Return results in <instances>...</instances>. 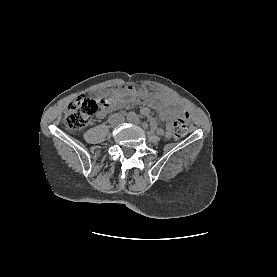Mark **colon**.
Returning a JSON list of instances; mask_svg holds the SVG:
<instances>
[{
  "mask_svg": "<svg viewBox=\"0 0 277 277\" xmlns=\"http://www.w3.org/2000/svg\"><path fill=\"white\" fill-rule=\"evenodd\" d=\"M101 105L104 103L100 101ZM98 108V102L81 96L68 106L63 124L68 131H77L87 126ZM172 132L175 139H181L186 135L187 125L184 119H177L172 124Z\"/></svg>",
  "mask_w": 277,
  "mask_h": 277,
  "instance_id": "obj_1",
  "label": "colon"
}]
</instances>
